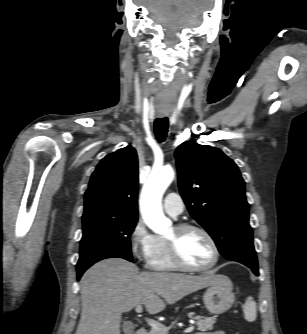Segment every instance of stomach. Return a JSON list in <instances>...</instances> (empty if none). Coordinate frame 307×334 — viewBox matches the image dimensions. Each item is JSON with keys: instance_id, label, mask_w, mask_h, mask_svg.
<instances>
[{"instance_id": "obj_1", "label": "stomach", "mask_w": 307, "mask_h": 334, "mask_svg": "<svg viewBox=\"0 0 307 334\" xmlns=\"http://www.w3.org/2000/svg\"><path fill=\"white\" fill-rule=\"evenodd\" d=\"M216 282L210 285L204 293L203 300L207 310L215 315L228 311L234 301L233 285L231 280L221 274L215 275Z\"/></svg>"}]
</instances>
